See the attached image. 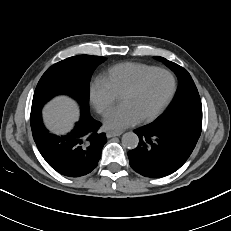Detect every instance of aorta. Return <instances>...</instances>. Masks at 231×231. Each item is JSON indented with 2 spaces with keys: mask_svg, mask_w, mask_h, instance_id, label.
Here are the masks:
<instances>
[{
  "mask_svg": "<svg viewBox=\"0 0 231 231\" xmlns=\"http://www.w3.org/2000/svg\"><path fill=\"white\" fill-rule=\"evenodd\" d=\"M139 143V138L134 132H126L122 136V144L128 149H134Z\"/></svg>",
  "mask_w": 231,
  "mask_h": 231,
  "instance_id": "762f6f07",
  "label": "aorta"
}]
</instances>
